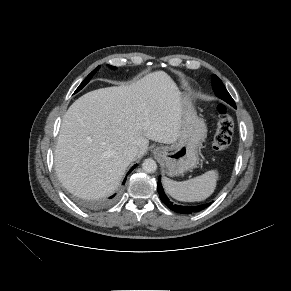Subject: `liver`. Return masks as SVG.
<instances>
[{
	"instance_id": "liver-1",
	"label": "liver",
	"mask_w": 291,
	"mask_h": 291,
	"mask_svg": "<svg viewBox=\"0 0 291 291\" xmlns=\"http://www.w3.org/2000/svg\"><path fill=\"white\" fill-rule=\"evenodd\" d=\"M183 99L163 71L130 85L88 92L63 117L55 149V169L62 185L82 198L115 192L132 161L142 157L149 140H178ZM136 146L133 160L125 151Z\"/></svg>"
}]
</instances>
